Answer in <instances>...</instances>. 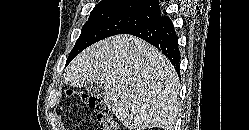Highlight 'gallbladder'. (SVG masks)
I'll return each mask as SVG.
<instances>
[{
    "label": "gallbladder",
    "mask_w": 249,
    "mask_h": 130,
    "mask_svg": "<svg viewBox=\"0 0 249 130\" xmlns=\"http://www.w3.org/2000/svg\"><path fill=\"white\" fill-rule=\"evenodd\" d=\"M86 92L91 97L100 98L104 96V88L99 82H93L86 86Z\"/></svg>",
    "instance_id": "gallbladder-1"
}]
</instances>
